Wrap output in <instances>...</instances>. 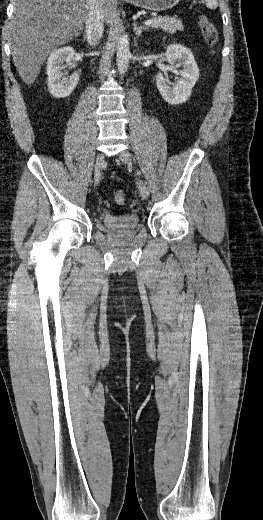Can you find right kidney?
<instances>
[{
    "instance_id": "right-kidney-1",
    "label": "right kidney",
    "mask_w": 263,
    "mask_h": 520,
    "mask_svg": "<svg viewBox=\"0 0 263 520\" xmlns=\"http://www.w3.org/2000/svg\"><path fill=\"white\" fill-rule=\"evenodd\" d=\"M75 51L73 47H61L53 51L47 60V85L50 94L55 98H66L75 89L79 81L78 73L66 77L64 69L66 65L74 67L71 63Z\"/></svg>"
}]
</instances>
